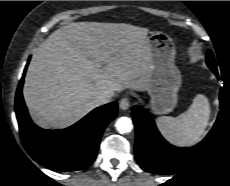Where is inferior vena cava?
<instances>
[{"mask_svg": "<svg viewBox=\"0 0 230 186\" xmlns=\"http://www.w3.org/2000/svg\"><path fill=\"white\" fill-rule=\"evenodd\" d=\"M111 97L112 96L110 94H100L96 97V102L99 105L106 104L110 101Z\"/></svg>", "mask_w": 230, "mask_h": 186, "instance_id": "1", "label": "inferior vena cava"}]
</instances>
